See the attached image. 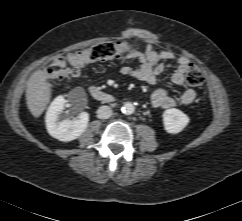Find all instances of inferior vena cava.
<instances>
[{
	"mask_svg": "<svg viewBox=\"0 0 242 221\" xmlns=\"http://www.w3.org/2000/svg\"><path fill=\"white\" fill-rule=\"evenodd\" d=\"M112 115V109L109 106H101L97 110V117L99 119H108Z\"/></svg>",
	"mask_w": 242,
	"mask_h": 221,
	"instance_id": "1",
	"label": "inferior vena cava"
}]
</instances>
